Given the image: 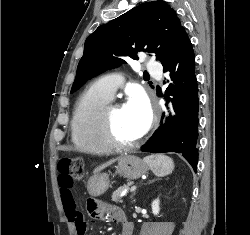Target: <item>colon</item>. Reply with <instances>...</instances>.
Wrapping results in <instances>:
<instances>
[{"label": "colon", "mask_w": 250, "mask_h": 235, "mask_svg": "<svg viewBox=\"0 0 250 235\" xmlns=\"http://www.w3.org/2000/svg\"><path fill=\"white\" fill-rule=\"evenodd\" d=\"M58 170L59 186L61 188H71L73 183L81 180L84 175L83 161L78 158L61 160L58 163ZM79 232H82L80 225Z\"/></svg>", "instance_id": "5ec220e1"}]
</instances>
